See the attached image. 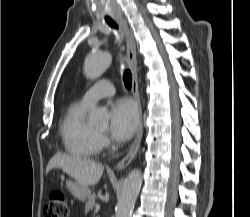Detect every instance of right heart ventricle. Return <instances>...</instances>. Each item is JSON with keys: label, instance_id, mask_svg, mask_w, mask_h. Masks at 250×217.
Masks as SVG:
<instances>
[{"label": "right heart ventricle", "instance_id": "right-heart-ventricle-1", "mask_svg": "<svg viewBox=\"0 0 250 217\" xmlns=\"http://www.w3.org/2000/svg\"><path fill=\"white\" fill-rule=\"evenodd\" d=\"M89 107L82 101L71 103L59 126L64 149L76 157H95L100 150L99 135L86 118Z\"/></svg>", "mask_w": 250, "mask_h": 217}]
</instances>
